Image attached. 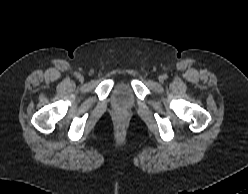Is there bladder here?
Returning <instances> with one entry per match:
<instances>
[{
  "label": "bladder",
  "instance_id": "obj_1",
  "mask_svg": "<svg viewBox=\"0 0 248 194\" xmlns=\"http://www.w3.org/2000/svg\"><path fill=\"white\" fill-rule=\"evenodd\" d=\"M112 100L119 108H128L134 103V95L130 84L118 85L112 94Z\"/></svg>",
  "mask_w": 248,
  "mask_h": 194
}]
</instances>
